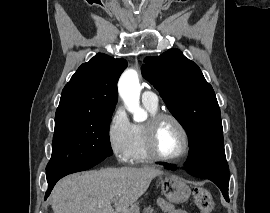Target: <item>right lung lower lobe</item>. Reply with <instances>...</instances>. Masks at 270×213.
Returning a JSON list of instances; mask_svg holds the SVG:
<instances>
[{"instance_id":"right-lung-lower-lobe-1","label":"right lung lower lobe","mask_w":270,"mask_h":213,"mask_svg":"<svg viewBox=\"0 0 270 213\" xmlns=\"http://www.w3.org/2000/svg\"><path fill=\"white\" fill-rule=\"evenodd\" d=\"M101 161L102 160L90 162V163L83 164V165L69 167V168H67V169H65L63 171L47 172L46 177H47V182H48V190L46 191L45 200L49 196V194H50L51 190L53 189L54 185L56 184V182L60 178L66 176L68 174H71V173H75V172L90 169L93 166H95L96 164L100 163Z\"/></svg>"}]
</instances>
